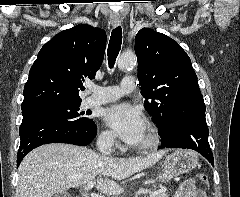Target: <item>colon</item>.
Here are the masks:
<instances>
[{
	"instance_id": "5ec220e1",
	"label": "colon",
	"mask_w": 240,
	"mask_h": 197,
	"mask_svg": "<svg viewBox=\"0 0 240 197\" xmlns=\"http://www.w3.org/2000/svg\"><path fill=\"white\" fill-rule=\"evenodd\" d=\"M198 180L201 181L204 184H208V177L205 174H199L198 176Z\"/></svg>"
}]
</instances>
